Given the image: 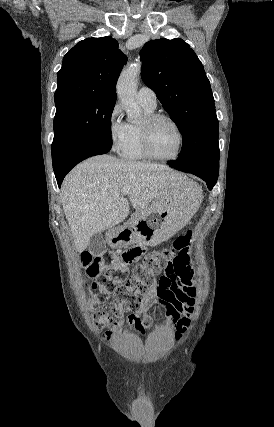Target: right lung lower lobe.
Instances as JSON below:
<instances>
[{
  "label": "right lung lower lobe",
  "mask_w": 274,
  "mask_h": 427,
  "mask_svg": "<svg viewBox=\"0 0 274 427\" xmlns=\"http://www.w3.org/2000/svg\"><path fill=\"white\" fill-rule=\"evenodd\" d=\"M112 147L111 143L96 142L89 144L69 156L63 163L53 167L58 186H61L65 175L82 160L95 155L107 153Z\"/></svg>",
  "instance_id": "obj_1"
}]
</instances>
